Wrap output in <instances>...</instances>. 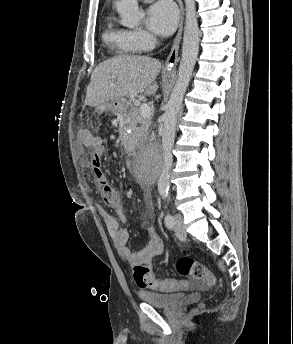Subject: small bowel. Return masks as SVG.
Instances as JSON below:
<instances>
[{
    "label": "small bowel",
    "mask_w": 293,
    "mask_h": 344,
    "mask_svg": "<svg viewBox=\"0 0 293 344\" xmlns=\"http://www.w3.org/2000/svg\"><path fill=\"white\" fill-rule=\"evenodd\" d=\"M102 141L100 137L93 135L87 129H79L77 131V145L80 149L96 147L97 143ZM94 170L96 173L98 171L102 172L101 165L94 167ZM100 214L117 253L128 265L134 266L149 263L163 253V240L152 224L147 225L148 244L141 250L133 252L127 247L130 234L127 229L122 227V223L125 221L122 206H118L114 214L101 208Z\"/></svg>",
    "instance_id": "c3829d8e"
}]
</instances>
